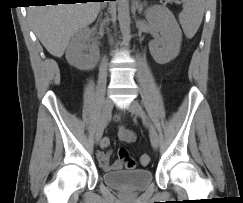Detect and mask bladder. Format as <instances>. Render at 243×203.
<instances>
[{"instance_id": "obj_1", "label": "bladder", "mask_w": 243, "mask_h": 203, "mask_svg": "<svg viewBox=\"0 0 243 203\" xmlns=\"http://www.w3.org/2000/svg\"><path fill=\"white\" fill-rule=\"evenodd\" d=\"M108 186L122 192H141L153 181L150 169H130L110 171L102 174Z\"/></svg>"}]
</instances>
